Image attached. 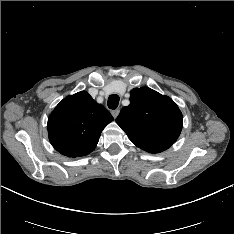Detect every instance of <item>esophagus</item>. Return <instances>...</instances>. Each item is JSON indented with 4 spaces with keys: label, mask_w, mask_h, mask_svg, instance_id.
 Masks as SVG:
<instances>
[{
    "label": "esophagus",
    "mask_w": 234,
    "mask_h": 234,
    "mask_svg": "<svg viewBox=\"0 0 234 234\" xmlns=\"http://www.w3.org/2000/svg\"><path fill=\"white\" fill-rule=\"evenodd\" d=\"M119 113H120V110H119V109H115V110H113V111L111 112V114H112V116H113L114 118H116V117L119 115Z\"/></svg>",
    "instance_id": "1"
}]
</instances>
